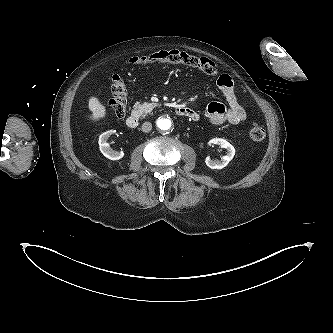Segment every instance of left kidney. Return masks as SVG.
I'll return each instance as SVG.
<instances>
[{
	"mask_svg": "<svg viewBox=\"0 0 333 333\" xmlns=\"http://www.w3.org/2000/svg\"><path fill=\"white\" fill-rule=\"evenodd\" d=\"M215 144L227 150V155L223 156L221 160H211L207 157L205 160L206 165L211 169H222L228 165L235 155V148L225 139L214 138L209 141L208 145Z\"/></svg>",
	"mask_w": 333,
	"mask_h": 333,
	"instance_id": "5707ae66",
	"label": "left kidney"
}]
</instances>
